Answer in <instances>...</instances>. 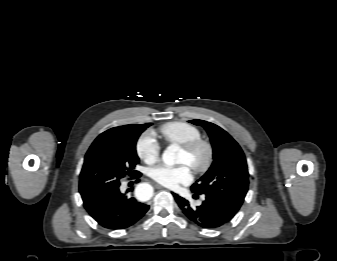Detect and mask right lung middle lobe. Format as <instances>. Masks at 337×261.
I'll return each instance as SVG.
<instances>
[{
  "mask_svg": "<svg viewBox=\"0 0 337 261\" xmlns=\"http://www.w3.org/2000/svg\"><path fill=\"white\" fill-rule=\"evenodd\" d=\"M151 124L125 125L100 134L90 146L80 174L79 192L83 202L120 184L124 177L139 174L136 142Z\"/></svg>",
  "mask_w": 337,
  "mask_h": 261,
  "instance_id": "dd1d6c3e",
  "label": "right lung middle lobe"
}]
</instances>
